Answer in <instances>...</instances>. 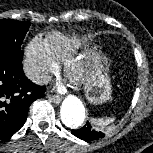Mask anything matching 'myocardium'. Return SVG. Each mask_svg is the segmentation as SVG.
I'll return each mask as SVG.
<instances>
[{
  "mask_svg": "<svg viewBox=\"0 0 153 153\" xmlns=\"http://www.w3.org/2000/svg\"><path fill=\"white\" fill-rule=\"evenodd\" d=\"M66 74L73 84H79L85 76V67L82 63L76 61L68 62L66 66Z\"/></svg>",
  "mask_w": 153,
  "mask_h": 153,
  "instance_id": "f54148a6",
  "label": "myocardium"
}]
</instances>
